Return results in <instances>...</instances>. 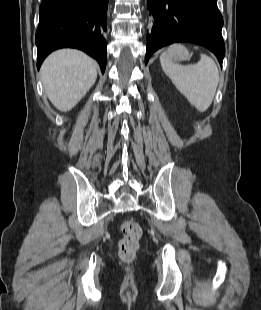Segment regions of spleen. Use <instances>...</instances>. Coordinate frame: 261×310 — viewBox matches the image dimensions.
Instances as JSON below:
<instances>
[{"label": "spleen", "mask_w": 261, "mask_h": 310, "mask_svg": "<svg viewBox=\"0 0 261 310\" xmlns=\"http://www.w3.org/2000/svg\"><path fill=\"white\" fill-rule=\"evenodd\" d=\"M161 66L178 91L199 112L211 105L219 82V72L215 62L201 54L196 64L178 65L171 62L164 52L160 56Z\"/></svg>", "instance_id": "spleen-1"}]
</instances>
